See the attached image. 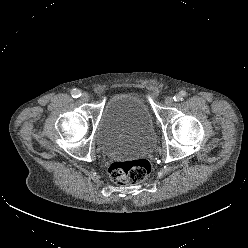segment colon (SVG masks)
<instances>
[{
  "instance_id": "obj_1",
  "label": "colon",
  "mask_w": 248,
  "mask_h": 248,
  "mask_svg": "<svg viewBox=\"0 0 248 248\" xmlns=\"http://www.w3.org/2000/svg\"><path fill=\"white\" fill-rule=\"evenodd\" d=\"M151 165L147 159L116 161L109 167L111 180L118 185L137 184L147 178Z\"/></svg>"
}]
</instances>
